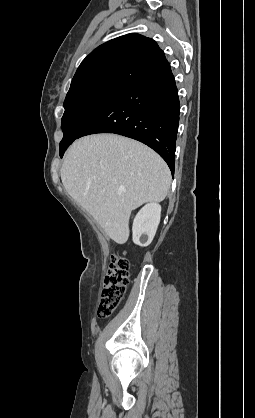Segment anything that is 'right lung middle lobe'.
Masks as SVG:
<instances>
[{"instance_id":"dd1d6c3e","label":"right lung middle lobe","mask_w":255,"mask_h":418,"mask_svg":"<svg viewBox=\"0 0 255 418\" xmlns=\"http://www.w3.org/2000/svg\"><path fill=\"white\" fill-rule=\"evenodd\" d=\"M125 87L126 85L119 83L97 81L79 85L68 92L64 101V136L60 142V154L78 137L99 110Z\"/></svg>"}]
</instances>
